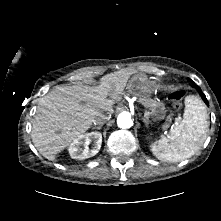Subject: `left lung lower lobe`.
Masks as SVG:
<instances>
[{
    "mask_svg": "<svg viewBox=\"0 0 221 221\" xmlns=\"http://www.w3.org/2000/svg\"><path fill=\"white\" fill-rule=\"evenodd\" d=\"M193 87L196 88V89L200 92V95L202 96L203 101H204L207 105H209V104H208V101H207V99H206V96L203 94V92L201 91L200 87L197 86V85H193Z\"/></svg>",
    "mask_w": 221,
    "mask_h": 221,
    "instance_id": "1",
    "label": "left lung lower lobe"
}]
</instances>
